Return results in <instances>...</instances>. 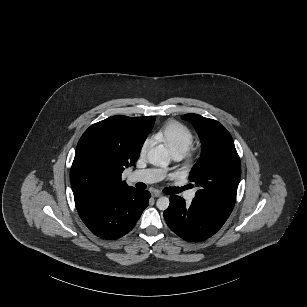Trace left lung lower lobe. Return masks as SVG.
Wrapping results in <instances>:
<instances>
[{
  "instance_id": "1",
  "label": "left lung lower lobe",
  "mask_w": 307,
  "mask_h": 307,
  "mask_svg": "<svg viewBox=\"0 0 307 307\" xmlns=\"http://www.w3.org/2000/svg\"><path fill=\"white\" fill-rule=\"evenodd\" d=\"M169 228L181 238L198 242L215 234L227 220V216L212 211L194 200L186 205L180 196H171L170 205L164 211Z\"/></svg>"
}]
</instances>
